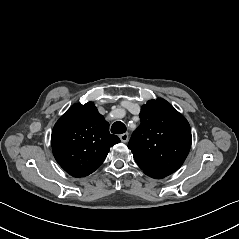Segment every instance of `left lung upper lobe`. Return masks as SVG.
<instances>
[{"mask_svg": "<svg viewBox=\"0 0 239 239\" xmlns=\"http://www.w3.org/2000/svg\"><path fill=\"white\" fill-rule=\"evenodd\" d=\"M140 120L128 143L139 167L150 177H165L177 171L191 147L188 121L162 98L143 105Z\"/></svg>", "mask_w": 239, "mask_h": 239, "instance_id": "obj_1", "label": "left lung upper lobe"}]
</instances>
